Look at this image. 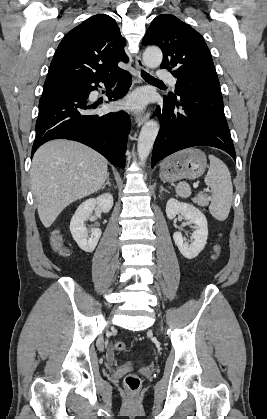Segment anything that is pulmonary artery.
I'll list each match as a JSON object with an SVG mask.
<instances>
[{
    "label": "pulmonary artery",
    "mask_w": 267,
    "mask_h": 419,
    "mask_svg": "<svg viewBox=\"0 0 267 419\" xmlns=\"http://www.w3.org/2000/svg\"><path fill=\"white\" fill-rule=\"evenodd\" d=\"M157 77L168 82L173 88L176 86V79L166 71H159Z\"/></svg>",
    "instance_id": "pulmonary-artery-1"
}]
</instances>
